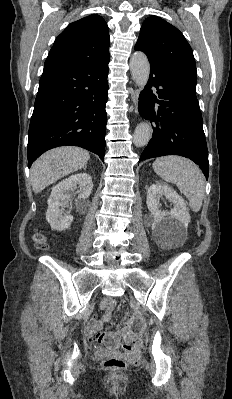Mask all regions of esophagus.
Segmentation results:
<instances>
[{
  "mask_svg": "<svg viewBox=\"0 0 232 399\" xmlns=\"http://www.w3.org/2000/svg\"><path fill=\"white\" fill-rule=\"evenodd\" d=\"M138 95H139V89L134 90V93L132 95V101L135 106H137L138 103ZM135 113H137V109H135Z\"/></svg>",
  "mask_w": 232,
  "mask_h": 399,
  "instance_id": "1",
  "label": "esophagus"
}]
</instances>
